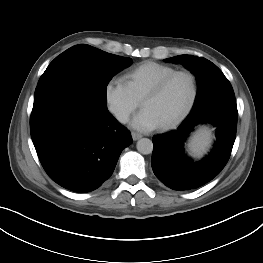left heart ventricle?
Instances as JSON below:
<instances>
[{"label":"left heart ventricle","instance_id":"b2bd125f","mask_svg":"<svg viewBox=\"0 0 263 263\" xmlns=\"http://www.w3.org/2000/svg\"><path fill=\"white\" fill-rule=\"evenodd\" d=\"M192 94V84L187 76L175 77L160 95L147 100L143 108L149 110L160 125L175 119L188 105Z\"/></svg>","mask_w":263,"mask_h":263}]
</instances>
